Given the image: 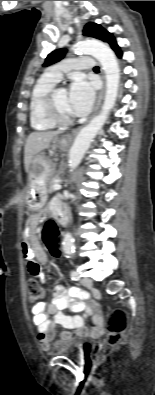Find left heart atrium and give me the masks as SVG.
Wrapping results in <instances>:
<instances>
[{"instance_id": "obj_1", "label": "left heart atrium", "mask_w": 155, "mask_h": 395, "mask_svg": "<svg viewBox=\"0 0 155 395\" xmlns=\"http://www.w3.org/2000/svg\"><path fill=\"white\" fill-rule=\"evenodd\" d=\"M94 98V85L82 76L76 77L68 92V104L71 115H86L93 105Z\"/></svg>"}]
</instances>
